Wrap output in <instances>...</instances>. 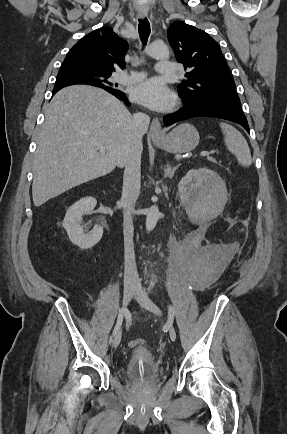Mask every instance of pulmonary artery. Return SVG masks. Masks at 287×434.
Returning <instances> with one entry per match:
<instances>
[{"label": "pulmonary artery", "instance_id": "pulmonary-artery-1", "mask_svg": "<svg viewBox=\"0 0 287 434\" xmlns=\"http://www.w3.org/2000/svg\"><path fill=\"white\" fill-rule=\"evenodd\" d=\"M156 71L161 75H175L177 72L176 65L170 62H158ZM145 78V73L131 71L129 74H122L119 80L123 83H135Z\"/></svg>", "mask_w": 287, "mask_h": 434}]
</instances>
